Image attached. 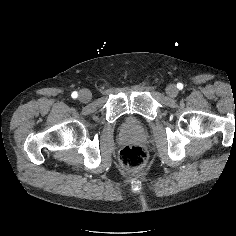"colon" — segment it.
<instances>
[{
  "mask_svg": "<svg viewBox=\"0 0 236 236\" xmlns=\"http://www.w3.org/2000/svg\"><path fill=\"white\" fill-rule=\"evenodd\" d=\"M147 155L139 145L125 146L119 154L120 165L126 170H139L146 164Z\"/></svg>",
  "mask_w": 236,
  "mask_h": 236,
  "instance_id": "1",
  "label": "colon"
}]
</instances>
